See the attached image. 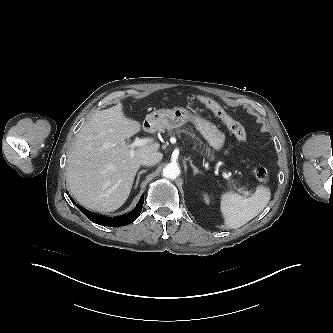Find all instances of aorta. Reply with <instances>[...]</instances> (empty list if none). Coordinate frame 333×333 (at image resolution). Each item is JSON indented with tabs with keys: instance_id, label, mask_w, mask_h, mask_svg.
I'll return each mask as SVG.
<instances>
[{
	"instance_id": "obj_1",
	"label": "aorta",
	"mask_w": 333,
	"mask_h": 333,
	"mask_svg": "<svg viewBox=\"0 0 333 333\" xmlns=\"http://www.w3.org/2000/svg\"><path fill=\"white\" fill-rule=\"evenodd\" d=\"M179 174H180V168L175 163H169L163 169V176L170 179L177 178Z\"/></svg>"
}]
</instances>
